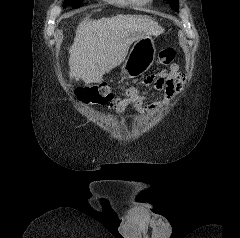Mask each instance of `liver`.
Masks as SVG:
<instances>
[{"label":"liver","instance_id":"liver-1","mask_svg":"<svg viewBox=\"0 0 240 238\" xmlns=\"http://www.w3.org/2000/svg\"><path fill=\"white\" fill-rule=\"evenodd\" d=\"M163 31L156 21L143 15L83 19L69 50L70 78H80L86 84L100 83L105 73L125 60L133 42Z\"/></svg>","mask_w":240,"mask_h":238}]
</instances>
